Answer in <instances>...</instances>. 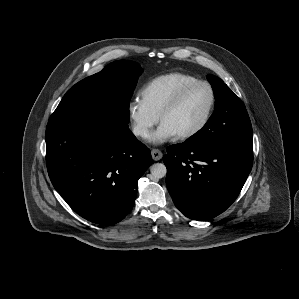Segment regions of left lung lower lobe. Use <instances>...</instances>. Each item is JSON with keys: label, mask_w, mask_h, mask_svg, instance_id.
<instances>
[{"label": "left lung lower lobe", "mask_w": 299, "mask_h": 299, "mask_svg": "<svg viewBox=\"0 0 299 299\" xmlns=\"http://www.w3.org/2000/svg\"><path fill=\"white\" fill-rule=\"evenodd\" d=\"M166 185L175 206L193 220L224 212L239 195L253 164L250 145L204 146L185 141L167 148Z\"/></svg>", "instance_id": "left-lung-lower-lobe-1"}]
</instances>
